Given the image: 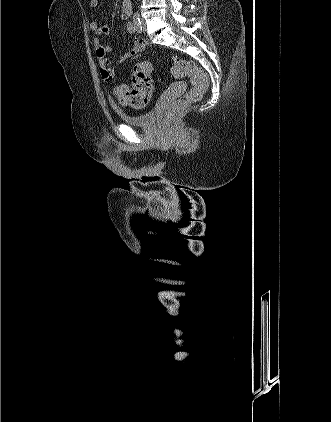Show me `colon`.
I'll return each instance as SVG.
<instances>
[{"instance_id": "1", "label": "colon", "mask_w": 331, "mask_h": 422, "mask_svg": "<svg viewBox=\"0 0 331 422\" xmlns=\"http://www.w3.org/2000/svg\"><path fill=\"white\" fill-rule=\"evenodd\" d=\"M172 74L176 77H189L192 88L182 98L173 102L167 110L170 118L176 117L189 103L199 100L208 87L207 74L193 61L177 60L172 67ZM132 86L117 85L116 95L127 104L141 108L149 102L153 86L151 79V65L147 61L135 64L132 73Z\"/></svg>"}]
</instances>
